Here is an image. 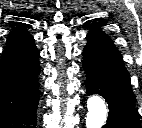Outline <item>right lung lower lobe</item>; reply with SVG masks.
Masks as SVG:
<instances>
[{
	"mask_svg": "<svg viewBox=\"0 0 142 128\" xmlns=\"http://www.w3.org/2000/svg\"><path fill=\"white\" fill-rule=\"evenodd\" d=\"M39 52L34 43L0 61V128H35Z\"/></svg>",
	"mask_w": 142,
	"mask_h": 128,
	"instance_id": "1",
	"label": "right lung lower lobe"
}]
</instances>
